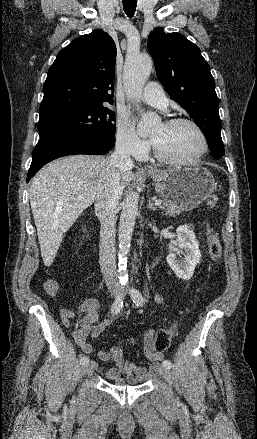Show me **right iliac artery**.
Segmentation results:
<instances>
[{
    "label": "right iliac artery",
    "instance_id": "obj_1",
    "mask_svg": "<svg viewBox=\"0 0 257 439\" xmlns=\"http://www.w3.org/2000/svg\"><path fill=\"white\" fill-rule=\"evenodd\" d=\"M122 306H123V294L119 292V294L117 295V297L115 298V301L113 302V304L111 306V312L113 314L120 313ZM88 362H89V357H87V356H83L80 359V364H82V365H85Z\"/></svg>",
    "mask_w": 257,
    "mask_h": 439
}]
</instances>
